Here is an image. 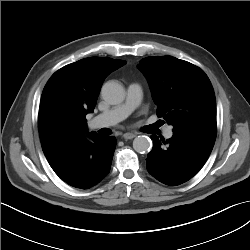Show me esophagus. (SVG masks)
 <instances>
[{
    "mask_svg": "<svg viewBox=\"0 0 250 250\" xmlns=\"http://www.w3.org/2000/svg\"><path fill=\"white\" fill-rule=\"evenodd\" d=\"M136 135L134 133H125L123 135V138L126 139V140H129V139H133Z\"/></svg>",
    "mask_w": 250,
    "mask_h": 250,
    "instance_id": "1",
    "label": "esophagus"
}]
</instances>
